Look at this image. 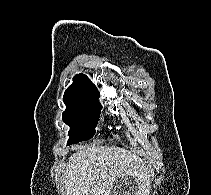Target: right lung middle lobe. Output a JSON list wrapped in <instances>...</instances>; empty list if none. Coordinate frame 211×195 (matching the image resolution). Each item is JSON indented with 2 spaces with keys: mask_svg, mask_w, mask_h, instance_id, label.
Wrapping results in <instances>:
<instances>
[{
  "mask_svg": "<svg viewBox=\"0 0 211 195\" xmlns=\"http://www.w3.org/2000/svg\"><path fill=\"white\" fill-rule=\"evenodd\" d=\"M67 106L63 112V121L70 127L67 145H72L84 140H89L95 134L100 110V103H71L64 102Z\"/></svg>",
  "mask_w": 211,
  "mask_h": 195,
  "instance_id": "obj_1",
  "label": "right lung middle lobe"
}]
</instances>
